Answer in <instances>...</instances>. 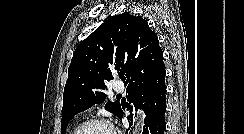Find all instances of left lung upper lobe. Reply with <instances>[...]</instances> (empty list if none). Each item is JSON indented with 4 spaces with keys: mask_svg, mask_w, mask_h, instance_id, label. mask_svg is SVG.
Here are the masks:
<instances>
[{
    "mask_svg": "<svg viewBox=\"0 0 244 134\" xmlns=\"http://www.w3.org/2000/svg\"><path fill=\"white\" fill-rule=\"evenodd\" d=\"M115 72L127 85L126 92L165 82L156 33L145 19L128 12L108 18L77 46L64 88L61 134L77 113L106 99L103 91ZM105 109L117 117L122 110L117 101L106 103Z\"/></svg>",
    "mask_w": 244,
    "mask_h": 134,
    "instance_id": "obj_1",
    "label": "left lung upper lobe"
}]
</instances>
